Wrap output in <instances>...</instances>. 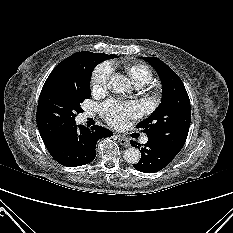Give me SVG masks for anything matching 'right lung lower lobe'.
<instances>
[{"mask_svg":"<svg viewBox=\"0 0 233 233\" xmlns=\"http://www.w3.org/2000/svg\"><path fill=\"white\" fill-rule=\"evenodd\" d=\"M113 133L101 126L91 129L73 125L70 130L51 140L44 141L51 156L61 165L76 167L88 164L96 157V143Z\"/></svg>","mask_w":233,"mask_h":233,"instance_id":"98d812e1","label":"right lung lower lobe"}]
</instances>
